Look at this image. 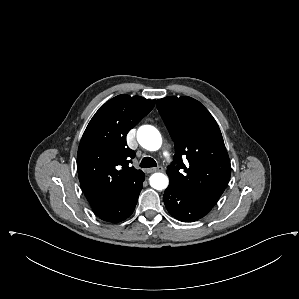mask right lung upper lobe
Returning a JSON list of instances; mask_svg holds the SVG:
<instances>
[{"label": "right lung upper lobe", "mask_w": 299, "mask_h": 299, "mask_svg": "<svg viewBox=\"0 0 299 299\" xmlns=\"http://www.w3.org/2000/svg\"><path fill=\"white\" fill-rule=\"evenodd\" d=\"M155 100L118 95L93 116L81 139L77 170L82 190L96 215L115 204L144 174L129 166L135 155L126 134L154 107Z\"/></svg>", "instance_id": "cb5924a9"}]
</instances>
